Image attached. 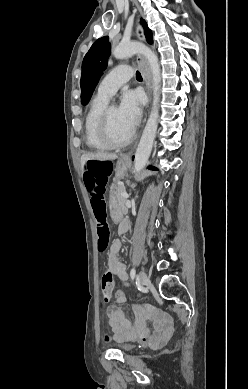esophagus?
I'll return each instance as SVG.
<instances>
[{"label":"esophagus","mask_w":248,"mask_h":389,"mask_svg":"<svg viewBox=\"0 0 248 389\" xmlns=\"http://www.w3.org/2000/svg\"><path fill=\"white\" fill-rule=\"evenodd\" d=\"M137 37L140 41L145 40V37L143 34V29L139 24L137 25ZM137 60L140 63L141 67L145 70V83H146V88H147V93H148V98H149V103H148V106H149L150 101H151V74H150V71H149V68L147 66L145 59L141 55L137 56ZM135 147H136V145H134V147L129 152L124 154L122 156V159L129 160L130 155Z\"/></svg>","instance_id":"obj_1"}]
</instances>
